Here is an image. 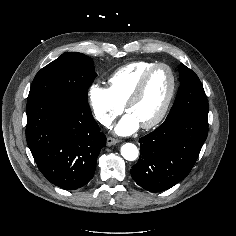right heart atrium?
Wrapping results in <instances>:
<instances>
[{
    "instance_id": "obj_1",
    "label": "right heart atrium",
    "mask_w": 236,
    "mask_h": 236,
    "mask_svg": "<svg viewBox=\"0 0 236 236\" xmlns=\"http://www.w3.org/2000/svg\"><path fill=\"white\" fill-rule=\"evenodd\" d=\"M88 100L94 118L103 126H109L123 111V105L114 98L109 88L99 84L90 86Z\"/></svg>"
}]
</instances>
